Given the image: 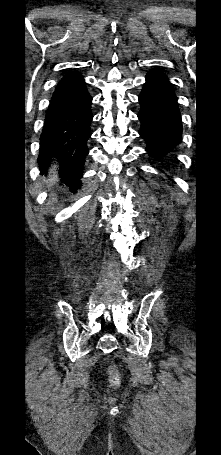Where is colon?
Returning <instances> with one entry per match:
<instances>
[{"label":"colon","mask_w":221,"mask_h":455,"mask_svg":"<svg viewBox=\"0 0 221 455\" xmlns=\"http://www.w3.org/2000/svg\"><path fill=\"white\" fill-rule=\"evenodd\" d=\"M110 381L114 386H118L120 384V377L117 373L113 372L110 377Z\"/></svg>","instance_id":"1"}]
</instances>
